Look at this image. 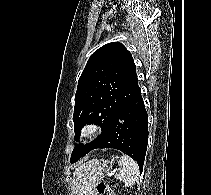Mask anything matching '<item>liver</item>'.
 Segmentation results:
<instances>
[{
	"label": "liver",
	"instance_id": "liver-1",
	"mask_svg": "<svg viewBox=\"0 0 211 195\" xmlns=\"http://www.w3.org/2000/svg\"><path fill=\"white\" fill-rule=\"evenodd\" d=\"M86 170V165L82 164L76 168L73 176V184H74V195H78L79 191L81 190V185H82V177H83V172Z\"/></svg>",
	"mask_w": 211,
	"mask_h": 195
}]
</instances>
